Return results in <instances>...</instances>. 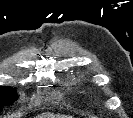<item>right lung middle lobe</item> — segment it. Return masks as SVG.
<instances>
[{
	"label": "right lung middle lobe",
	"instance_id": "1",
	"mask_svg": "<svg viewBox=\"0 0 133 118\" xmlns=\"http://www.w3.org/2000/svg\"><path fill=\"white\" fill-rule=\"evenodd\" d=\"M15 101V90L11 87L0 86V111L3 106H9Z\"/></svg>",
	"mask_w": 133,
	"mask_h": 118
}]
</instances>
